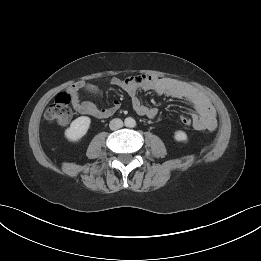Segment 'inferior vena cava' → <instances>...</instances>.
I'll list each match as a JSON object with an SVG mask.
<instances>
[{
    "instance_id": "inferior-vena-cava-1",
    "label": "inferior vena cava",
    "mask_w": 261,
    "mask_h": 261,
    "mask_svg": "<svg viewBox=\"0 0 261 261\" xmlns=\"http://www.w3.org/2000/svg\"><path fill=\"white\" fill-rule=\"evenodd\" d=\"M122 126H123V121L119 118L112 119L109 124L111 130H117Z\"/></svg>"
}]
</instances>
